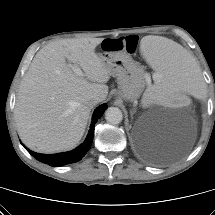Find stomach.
<instances>
[{"instance_id":"obj_1","label":"stomach","mask_w":215,"mask_h":215,"mask_svg":"<svg viewBox=\"0 0 215 215\" xmlns=\"http://www.w3.org/2000/svg\"><path fill=\"white\" fill-rule=\"evenodd\" d=\"M100 58L110 74L117 79V97L128 101L136 100L145 86L143 68L123 51H104Z\"/></svg>"}]
</instances>
